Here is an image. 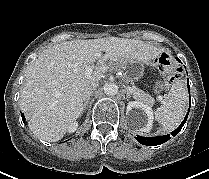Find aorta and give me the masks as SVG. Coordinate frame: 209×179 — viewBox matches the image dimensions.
Here are the masks:
<instances>
[{
    "label": "aorta",
    "instance_id": "aorta-1",
    "mask_svg": "<svg viewBox=\"0 0 209 179\" xmlns=\"http://www.w3.org/2000/svg\"><path fill=\"white\" fill-rule=\"evenodd\" d=\"M104 92L106 95L113 96L118 92V86L115 83H107L104 86Z\"/></svg>",
    "mask_w": 209,
    "mask_h": 179
}]
</instances>
